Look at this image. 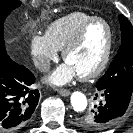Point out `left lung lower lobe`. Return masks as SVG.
<instances>
[{
  "instance_id": "1",
  "label": "left lung lower lobe",
  "mask_w": 133,
  "mask_h": 133,
  "mask_svg": "<svg viewBox=\"0 0 133 133\" xmlns=\"http://www.w3.org/2000/svg\"><path fill=\"white\" fill-rule=\"evenodd\" d=\"M101 92L104 100L95 106L92 120L103 128L98 131H88L89 133L105 130L118 122L125 114L133 94L132 91L117 86L105 87Z\"/></svg>"
}]
</instances>
